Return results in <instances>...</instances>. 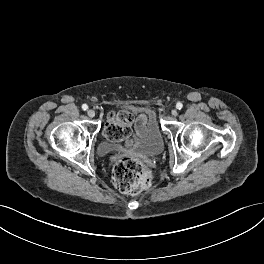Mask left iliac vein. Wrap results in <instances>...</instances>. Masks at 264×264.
<instances>
[{
    "label": "left iliac vein",
    "mask_w": 264,
    "mask_h": 264,
    "mask_svg": "<svg viewBox=\"0 0 264 264\" xmlns=\"http://www.w3.org/2000/svg\"><path fill=\"white\" fill-rule=\"evenodd\" d=\"M171 114H172V116H177L178 115V111L177 110H172Z\"/></svg>",
    "instance_id": "left-iliac-vein-1"
}]
</instances>
